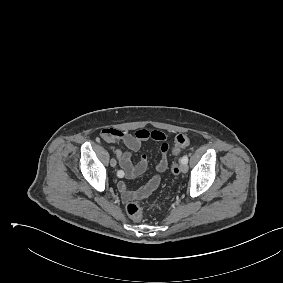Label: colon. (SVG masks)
Wrapping results in <instances>:
<instances>
[{
    "label": "colon",
    "mask_w": 283,
    "mask_h": 283,
    "mask_svg": "<svg viewBox=\"0 0 283 283\" xmlns=\"http://www.w3.org/2000/svg\"><path fill=\"white\" fill-rule=\"evenodd\" d=\"M189 145V138L184 134H178L175 137L174 147L172 148V154L176 156L182 148H185ZM171 171L173 174L179 173V166L176 162L172 163ZM162 206L163 204H151L150 207L153 209H160ZM126 212L131 218L135 220H139L142 217L141 206L137 200H131L127 203Z\"/></svg>",
    "instance_id": "1"
}]
</instances>
